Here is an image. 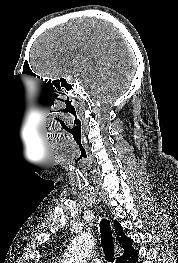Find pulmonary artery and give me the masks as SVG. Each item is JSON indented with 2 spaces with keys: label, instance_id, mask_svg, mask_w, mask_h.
<instances>
[{
  "label": "pulmonary artery",
  "instance_id": "pulmonary-artery-1",
  "mask_svg": "<svg viewBox=\"0 0 178 263\" xmlns=\"http://www.w3.org/2000/svg\"><path fill=\"white\" fill-rule=\"evenodd\" d=\"M90 263H103V260L100 258H94L90 260Z\"/></svg>",
  "mask_w": 178,
  "mask_h": 263
}]
</instances>
